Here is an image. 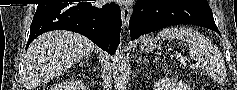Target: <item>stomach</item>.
<instances>
[{
	"mask_svg": "<svg viewBox=\"0 0 237 90\" xmlns=\"http://www.w3.org/2000/svg\"><path fill=\"white\" fill-rule=\"evenodd\" d=\"M139 47L144 53L152 52L156 48V40L150 37H145L140 41Z\"/></svg>",
	"mask_w": 237,
	"mask_h": 90,
	"instance_id": "0dacf381",
	"label": "stomach"
}]
</instances>
